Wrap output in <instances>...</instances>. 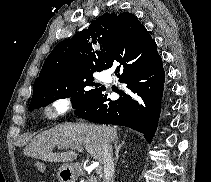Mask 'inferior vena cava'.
<instances>
[{"instance_id": "obj_1", "label": "inferior vena cava", "mask_w": 211, "mask_h": 182, "mask_svg": "<svg viewBox=\"0 0 211 182\" xmlns=\"http://www.w3.org/2000/svg\"><path fill=\"white\" fill-rule=\"evenodd\" d=\"M104 182H114V162L112 146L109 142L103 145Z\"/></svg>"}]
</instances>
